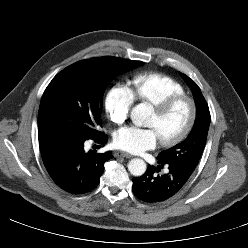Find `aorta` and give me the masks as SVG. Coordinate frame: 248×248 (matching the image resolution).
Wrapping results in <instances>:
<instances>
[{"instance_id":"1","label":"aorta","mask_w":248,"mask_h":248,"mask_svg":"<svg viewBox=\"0 0 248 248\" xmlns=\"http://www.w3.org/2000/svg\"><path fill=\"white\" fill-rule=\"evenodd\" d=\"M149 110L144 104H139L132 109L131 119L135 125H142L143 120L148 116ZM146 163L140 158H134L128 163V170L134 176H142L146 171Z\"/></svg>"}]
</instances>
